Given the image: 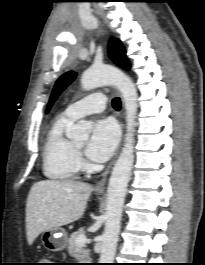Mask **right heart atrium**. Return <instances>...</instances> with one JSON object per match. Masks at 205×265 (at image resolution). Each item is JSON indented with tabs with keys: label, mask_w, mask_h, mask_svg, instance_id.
Returning <instances> with one entry per match:
<instances>
[{
	"label": "right heart atrium",
	"mask_w": 205,
	"mask_h": 265,
	"mask_svg": "<svg viewBox=\"0 0 205 265\" xmlns=\"http://www.w3.org/2000/svg\"><path fill=\"white\" fill-rule=\"evenodd\" d=\"M81 161V158L79 155H77V162H80Z\"/></svg>",
	"instance_id": "d8ad5b80"
}]
</instances>
